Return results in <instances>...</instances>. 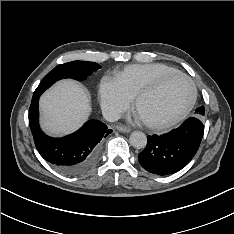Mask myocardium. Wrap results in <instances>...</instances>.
Segmentation results:
<instances>
[{"instance_id": "f54148a6", "label": "myocardium", "mask_w": 234, "mask_h": 234, "mask_svg": "<svg viewBox=\"0 0 234 234\" xmlns=\"http://www.w3.org/2000/svg\"><path fill=\"white\" fill-rule=\"evenodd\" d=\"M173 77L184 78L185 80H187L190 83L191 88H192L191 99H190L189 103L187 104V106L178 115H176L172 118H168V119L161 120V121H146L143 119L145 125L151 129L163 130V129H167L169 127H172V126L178 124L179 122H181L182 120H184L187 117V115L191 112V110L193 109V107L196 103L198 92H197V87H196L195 82L187 74L180 72V71H177V72L164 74L161 77H159L158 79H156L154 82L149 84L148 86L141 89L134 97L135 110L138 111V106L143 98H145L146 96L155 92L166 81H168L169 79H171Z\"/></svg>"}]
</instances>
